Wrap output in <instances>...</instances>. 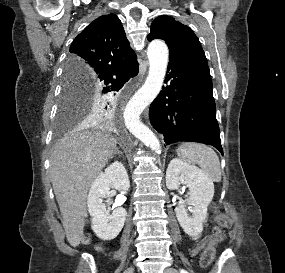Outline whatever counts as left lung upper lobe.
I'll use <instances>...</instances> for the list:
<instances>
[{"label": "left lung upper lobe", "mask_w": 285, "mask_h": 273, "mask_svg": "<svg viewBox=\"0 0 285 273\" xmlns=\"http://www.w3.org/2000/svg\"><path fill=\"white\" fill-rule=\"evenodd\" d=\"M162 39L169 47V58L177 61L193 73L206 77L210 71L198 37L186 25L170 16H159L150 27L147 39Z\"/></svg>", "instance_id": "obj_1"}]
</instances>
